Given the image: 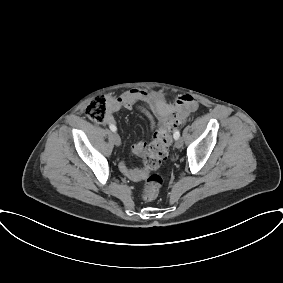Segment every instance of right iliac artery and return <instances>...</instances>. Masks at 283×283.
I'll use <instances>...</instances> for the list:
<instances>
[{"mask_svg": "<svg viewBox=\"0 0 283 283\" xmlns=\"http://www.w3.org/2000/svg\"><path fill=\"white\" fill-rule=\"evenodd\" d=\"M109 127H110L111 131H113V132H115L117 130L115 125H110Z\"/></svg>", "mask_w": 283, "mask_h": 283, "instance_id": "right-iliac-artery-1", "label": "right iliac artery"}]
</instances>
